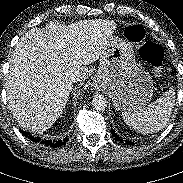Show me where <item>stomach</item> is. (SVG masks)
<instances>
[{
    "label": "stomach",
    "instance_id": "0dacf381",
    "mask_svg": "<svg viewBox=\"0 0 183 183\" xmlns=\"http://www.w3.org/2000/svg\"><path fill=\"white\" fill-rule=\"evenodd\" d=\"M95 85L108 91L117 110L136 112L153 95L150 74L136 63L130 41L112 36L99 58Z\"/></svg>",
    "mask_w": 183,
    "mask_h": 183
}]
</instances>
